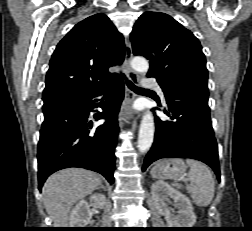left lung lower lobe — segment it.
<instances>
[{
  "label": "left lung lower lobe",
  "mask_w": 252,
  "mask_h": 231,
  "mask_svg": "<svg viewBox=\"0 0 252 231\" xmlns=\"http://www.w3.org/2000/svg\"><path fill=\"white\" fill-rule=\"evenodd\" d=\"M166 102L164 113L170 120L155 117L154 143L142 170L161 158L184 157L209 165L220 180L217 142L211 124L208 89L188 81L159 78ZM173 82L171 87L166 84Z\"/></svg>",
  "instance_id": "obj_1"
}]
</instances>
